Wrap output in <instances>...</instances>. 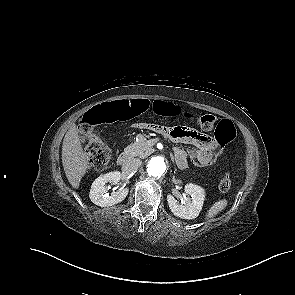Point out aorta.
Returning a JSON list of instances; mask_svg holds the SVG:
<instances>
[{"label": "aorta", "instance_id": "obj_1", "mask_svg": "<svg viewBox=\"0 0 295 295\" xmlns=\"http://www.w3.org/2000/svg\"><path fill=\"white\" fill-rule=\"evenodd\" d=\"M167 163L163 157H153L147 164V172L150 176L159 178L167 172Z\"/></svg>", "mask_w": 295, "mask_h": 295}]
</instances>
